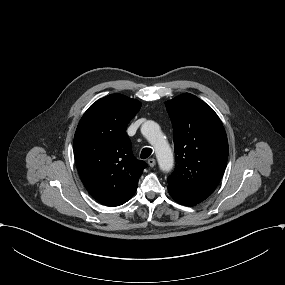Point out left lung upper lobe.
Returning a JSON list of instances; mask_svg holds the SVG:
<instances>
[{
    "label": "left lung upper lobe",
    "instance_id": "obj_1",
    "mask_svg": "<svg viewBox=\"0 0 285 285\" xmlns=\"http://www.w3.org/2000/svg\"><path fill=\"white\" fill-rule=\"evenodd\" d=\"M173 125L176 167L168 178L170 195L192 203L209 197L228 159V141L217 114L198 97L185 93L167 101Z\"/></svg>",
    "mask_w": 285,
    "mask_h": 285
}]
</instances>
